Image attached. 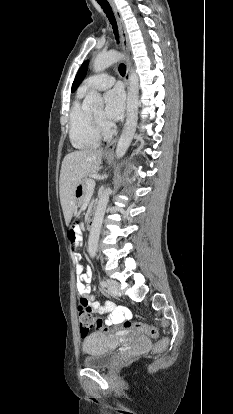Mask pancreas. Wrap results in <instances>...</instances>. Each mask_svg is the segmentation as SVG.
I'll return each mask as SVG.
<instances>
[{
	"instance_id": "cf45deb5",
	"label": "pancreas",
	"mask_w": 233,
	"mask_h": 414,
	"mask_svg": "<svg viewBox=\"0 0 233 414\" xmlns=\"http://www.w3.org/2000/svg\"><path fill=\"white\" fill-rule=\"evenodd\" d=\"M91 180V178H85L84 183V198L91 192V190L88 188L87 182Z\"/></svg>"
}]
</instances>
